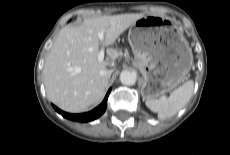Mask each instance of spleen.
Wrapping results in <instances>:
<instances>
[{
	"instance_id": "3e777b00",
	"label": "spleen",
	"mask_w": 230,
	"mask_h": 155,
	"mask_svg": "<svg viewBox=\"0 0 230 155\" xmlns=\"http://www.w3.org/2000/svg\"><path fill=\"white\" fill-rule=\"evenodd\" d=\"M194 89V82L189 80L175 89L169 97L162 96L159 99H147L146 106L160 119H166L177 114L189 102Z\"/></svg>"
}]
</instances>
